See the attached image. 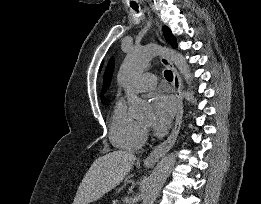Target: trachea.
<instances>
[{"label": "trachea", "instance_id": "3493384b", "mask_svg": "<svg viewBox=\"0 0 261 204\" xmlns=\"http://www.w3.org/2000/svg\"><path fill=\"white\" fill-rule=\"evenodd\" d=\"M131 7H132L134 10H137V9H138V6H137V5H131ZM164 76H165V78H166L167 81H172V80H173V73H172L170 70H165Z\"/></svg>", "mask_w": 261, "mask_h": 204}]
</instances>
